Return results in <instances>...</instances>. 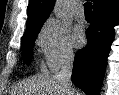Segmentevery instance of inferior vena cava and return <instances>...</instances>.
Returning <instances> with one entry per match:
<instances>
[{
    "label": "inferior vena cava",
    "mask_w": 119,
    "mask_h": 95,
    "mask_svg": "<svg viewBox=\"0 0 119 95\" xmlns=\"http://www.w3.org/2000/svg\"><path fill=\"white\" fill-rule=\"evenodd\" d=\"M73 61H74V54L73 52H67L61 62V70L58 74H56V77L60 80H62L70 92V95H73V87H72V81H71V75H72V68H73Z\"/></svg>",
    "instance_id": "inferior-vena-cava-1"
}]
</instances>
